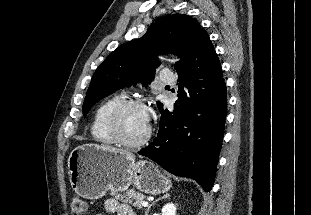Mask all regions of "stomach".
<instances>
[{
    "mask_svg": "<svg viewBox=\"0 0 311 215\" xmlns=\"http://www.w3.org/2000/svg\"><path fill=\"white\" fill-rule=\"evenodd\" d=\"M72 189L81 197L95 200L108 191L115 194L133 185L144 193L156 195L172 187L152 162L134 161L126 154L111 152L96 144L74 148L68 158Z\"/></svg>",
    "mask_w": 311,
    "mask_h": 215,
    "instance_id": "obj_1",
    "label": "stomach"
}]
</instances>
